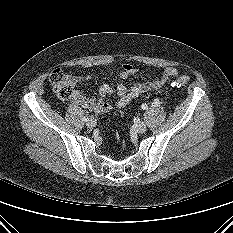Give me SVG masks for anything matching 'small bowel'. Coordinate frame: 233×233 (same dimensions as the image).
Wrapping results in <instances>:
<instances>
[{"instance_id":"c3829d8e","label":"small bowel","mask_w":233,"mask_h":233,"mask_svg":"<svg viewBox=\"0 0 233 233\" xmlns=\"http://www.w3.org/2000/svg\"><path fill=\"white\" fill-rule=\"evenodd\" d=\"M136 72L137 69L134 65H132L131 63H125L122 66L120 79L124 81L128 79L130 76L134 75ZM177 75L178 69L176 67L169 66L164 68L162 73L157 78L151 81L144 83H136L131 88H127L122 81L115 83L105 82L100 86L99 92L102 97H106L115 93L118 96L115 106L118 108H123L126 105H128L132 100L136 99L144 93L160 92L161 88L167 82V80L169 78H174ZM93 77V73H88L84 77V79L91 80ZM81 79V77H76L74 80L80 81ZM75 100L86 109L98 113H107L113 109V105L111 103L98 98H84L80 96Z\"/></svg>"}]
</instances>
